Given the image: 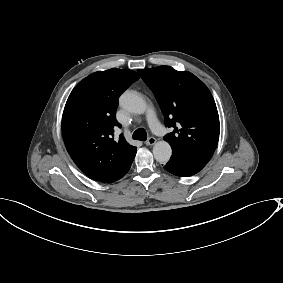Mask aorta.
<instances>
[{
  "label": "aorta",
  "instance_id": "762f6f07",
  "mask_svg": "<svg viewBox=\"0 0 283 283\" xmlns=\"http://www.w3.org/2000/svg\"><path fill=\"white\" fill-rule=\"evenodd\" d=\"M119 105L135 114H142L146 110V102L132 91H126L120 96ZM153 155L157 162L165 164L172 155L171 146L166 141H158L153 147Z\"/></svg>",
  "mask_w": 283,
  "mask_h": 283
}]
</instances>
